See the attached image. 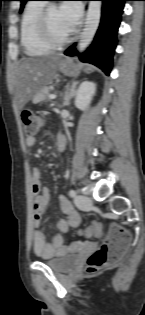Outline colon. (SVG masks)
Wrapping results in <instances>:
<instances>
[{"mask_svg": "<svg viewBox=\"0 0 145 315\" xmlns=\"http://www.w3.org/2000/svg\"><path fill=\"white\" fill-rule=\"evenodd\" d=\"M21 120L26 137L34 136L39 127L40 119L37 114L31 110H25L21 113ZM101 231V225L93 221L88 230L89 236H98ZM130 244V235L127 230L118 225H113L106 240L102 245L88 258L87 269L89 272H95L117 263Z\"/></svg>", "mask_w": 145, "mask_h": 315, "instance_id": "obj_1", "label": "colon"}]
</instances>
